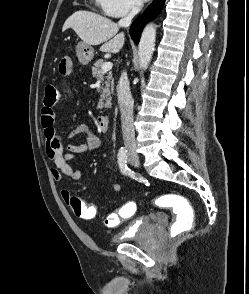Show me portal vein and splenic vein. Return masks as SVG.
<instances>
[{"mask_svg": "<svg viewBox=\"0 0 249 294\" xmlns=\"http://www.w3.org/2000/svg\"><path fill=\"white\" fill-rule=\"evenodd\" d=\"M112 66H113L112 62L103 63V65H102V73H105V72L111 70Z\"/></svg>", "mask_w": 249, "mask_h": 294, "instance_id": "obj_1", "label": "portal vein and splenic vein"}]
</instances>
